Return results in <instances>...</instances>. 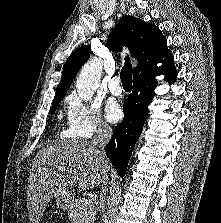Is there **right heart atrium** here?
Returning a JSON list of instances; mask_svg holds the SVG:
<instances>
[{"label": "right heart atrium", "instance_id": "1", "mask_svg": "<svg viewBox=\"0 0 221 223\" xmlns=\"http://www.w3.org/2000/svg\"><path fill=\"white\" fill-rule=\"evenodd\" d=\"M109 124L102 118L95 103L82 101L75 93L66 98V133L71 138L89 139L107 134Z\"/></svg>", "mask_w": 221, "mask_h": 223}]
</instances>
